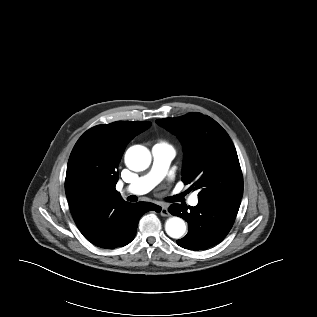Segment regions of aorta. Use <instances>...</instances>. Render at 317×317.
Returning <instances> with one entry per match:
<instances>
[{
    "mask_svg": "<svg viewBox=\"0 0 317 317\" xmlns=\"http://www.w3.org/2000/svg\"><path fill=\"white\" fill-rule=\"evenodd\" d=\"M151 163L149 149L142 145L130 147L125 154V164L133 171H144ZM165 231L171 238L179 239L186 232V225L180 217H171L165 223Z\"/></svg>",
    "mask_w": 317,
    "mask_h": 317,
    "instance_id": "762f6f07",
    "label": "aorta"
}]
</instances>
